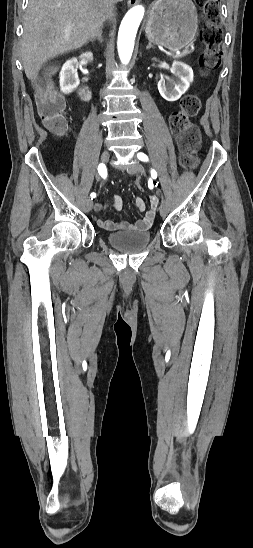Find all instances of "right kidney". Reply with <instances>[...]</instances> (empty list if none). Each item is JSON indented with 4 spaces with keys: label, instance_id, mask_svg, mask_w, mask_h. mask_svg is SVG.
Listing matches in <instances>:
<instances>
[{
    "label": "right kidney",
    "instance_id": "obj_1",
    "mask_svg": "<svg viewBox=\"0 0 253 548\" xmlns=\"http://www.w3.org/2000/svg\"><path fill=\"white\" fill-rule=\"evenodd\" d=\"M81 59L92 60L91 52L84 53L80 56ZM78 61L72 58L64 63L60 71V90L64 94H69L79 85L77 69L75 68Z\"/></svg>",
    "mask_w": 253,
    "mask_h": 548
}]
</instances>
